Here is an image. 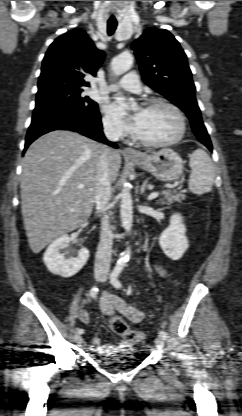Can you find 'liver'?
Listing matches in <instances>:
<instances>
[{
    "label": "liver",
    "mask_w": 242,
    "mask_h": 416,
    "mask_svg": "<svg viewBox=\"0 0 242 416\" xmlns=\"http://www.w3.org/2000/svg\"><path fill=\"white\" fill-rule=\"evenodd\" d=\"M103 149L102 144L68 130L51 131L28 148L23 160L21 209L33 253H39L89 218ZM120 166V153L112 150V182Z\"/></svg>",
    "instance_id": "liver-1"
}]
</instances>
